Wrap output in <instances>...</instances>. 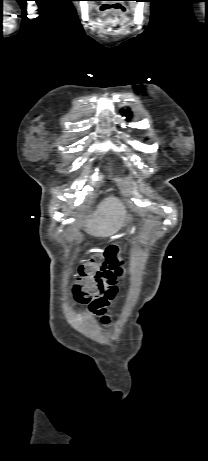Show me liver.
I'll return each mask as SVG.
<instances>
[{"label":"liver","instance_id":"obj_1","mask_svg":"<svg viewBox=\"0 0 208 461\" xmlns=\"http://www.w3.org/2000/svg\"><path fill=\"white\" fill-rule=\"evenodd\" d=\"M126 210L121 201L108 197L100 203L97 210L85 221L88 233L106 237L117 233L124 225Z\"/></svg>","mask_w":208,"mask_h":461}]
</instances>
